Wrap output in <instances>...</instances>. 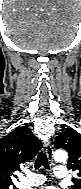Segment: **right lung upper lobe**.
Instances as JSON below:
<instances>
[{"label": "right lung upper lobe", "instance_id": "right-lung-upper-lobe-1", "mask_svg": "<svg viewBox=\"0 0 81 189\" xmlns=\"http://www.w3.org/2000/svg\"><path fill=\"white\" fill-rule=\"evenodd\" d=\"M42 148L28 127L13 130L0 140V186L12 184L13 172ZM15 177V176H14Z\"/></svg>", "mask_w": 81, "mask_h": 189}]
</instances>
